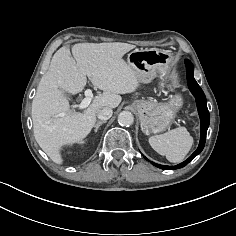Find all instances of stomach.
Masks as SVG:
<instances>
[{
	"mask_svg": "<svg viewBox=\"0 0 236 236\" xmlns=\"http://www.w3.org/2000/svg\"><path fill=\"white\" fill-rule=\"evenodd\" d=\"M169 62V55L158 49H135L127 57V63L138 72L142 84L150 83L158 73L166 77ZM182 103L180 95H173L167 103L136 100L133 106L138 113L142 131L155 134L170 126Z\"/></svg>",
	"mask_w": 236,
	"mask_h": 236,
	"instance_id": "0dacf381",
	"label": "stomach"
}]
</instances>
